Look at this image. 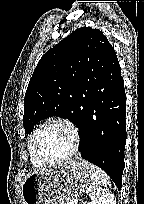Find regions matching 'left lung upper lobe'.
<instances>
[{"instance_id": "5c2ea615", "label": "left lung upper lobe", "mask_w": 144, "mask_h": 204, "mask_svg": "<svg viewBox=\"0 0 144 204\" xmlns=\"http://www.w3.org/2000/svg\"><path fill=\"white\" fill-rule=\"evenodd\" d=\"M116 53L102 31L82 27L43 55L24 98L23 126L30 134L35 123L52 116L70 119L82 129L88 90L97 68Z\"/></svg>"}]
</instances>
